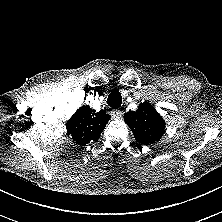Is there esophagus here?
Instances as JSON below:
<instances>
[{
	"instance_id": "esophagus-1",
	"label": "esophagus",
	"mask_w": 222,
	"mask_h": 222,
	"mask_svg": "<svg viewBox=\"0 0 222 222\" xmlns=\"http://www.w3.org/2000/svg\"><path fill=\"white\" fill-rule=\"evenodd\" d=\"M122 111L121 110H112L111 111V115H112V117H114L115 119H119V118H121V116H122Z\"/></svg>"
}]
</instances>
